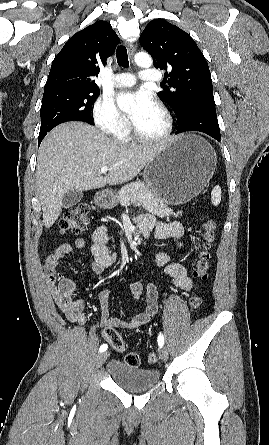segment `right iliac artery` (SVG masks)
Here are the masks:
<instances>
[{"label":"right iliac artery","instance_id":"obj_1","mask_svg":"<svg viewBox=\"0 0 269 445\" xmlns=\"http://www.w3.org/2000/svg\"><path fill=\"white\" fill-rule=\"evenodd\" d=\"M106 350H107V344H103L100 346V349H99L100 352H104Z\"/></svg>","mask_w":269,"mask_h":445}]
</instances>
